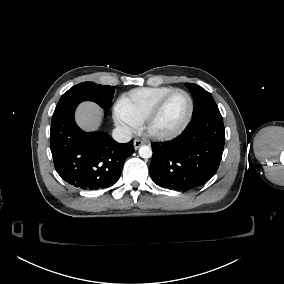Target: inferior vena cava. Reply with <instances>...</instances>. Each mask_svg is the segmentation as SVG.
<instances>
[{"label": "inferior vena cava", "instance_id": "1", "mask_svg": "<svg viewBox=\"0 0 284 284\" xmlns=\"http://www.w3.org/2000/svg\"><path fill=\"white\" fill-rule=\"evenodd\" d=\"M132 137V133L126 127H117L113 130V138L120 143L129 142Z\"/></svg>", "mask_w": 284, "mask_h": 284}]
</instances>
